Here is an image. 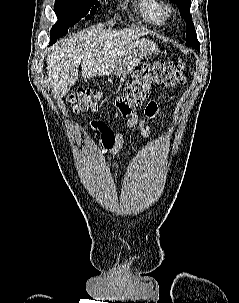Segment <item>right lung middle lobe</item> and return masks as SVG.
I'll return each mask as SVG.
<instances>
[{
  "label": "right lung middle lobe",
  "mask_w": 239,
  "mask_h": 303,
  "mask_svg": "<svg viewBox=\"0 0 239 303\" xmlns=\"http://www.w3.org/2000/svg\"><path fill=\"white\" fill-rule=\"evenodd\" d=\"M96 6H93V5ZM99 4L94 0H55L54 10L58 18L57 23L50 32L51 43L57 38L63 37L68 33V28L74 26L82 17L90 19L87 15H94Z\"/></svg>",
  "instance_id": "obj_1"
}]
</instances>
